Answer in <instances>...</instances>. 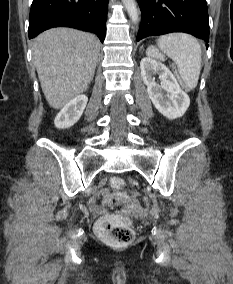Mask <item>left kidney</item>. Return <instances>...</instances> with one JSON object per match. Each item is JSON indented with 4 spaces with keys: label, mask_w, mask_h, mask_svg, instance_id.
<instances>
[{
    "label": "left kidney",
    "mask_w": 233,
    "mask_h": 284,
    "mask_svg": "<svg viewBox=\"0 0 233 284\" xmlns=\"http://www.w3.org/2000/svg\"><path fill=\"white\" fill-rule=\"evenodd\" d=\"M141 76L155 108L166 118L184 115L190 105L189 96L181 89L172 72L160 61L145 57L140 62ZM158 74L161 84L155 82Z\"/></svg>",
    "instance_id": "left-kidney-1"
}]
</instances>
